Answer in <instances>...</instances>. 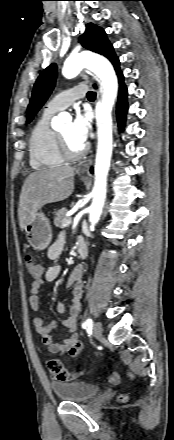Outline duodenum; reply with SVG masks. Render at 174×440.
Listing matches in <instances>:
<instances>
[{
	"mask_svg": "<svg viewBox=\"0 0 174 440\" xmlns=\"http://www.w3.org/2000/svg\"><path fill=\"white\" fill-rule=\"evenodd\" d=\"M76 250L81 259H85L88 255V247L83 238L76 239Z\"/></svg>",
	"mask_w": 174,
	"mask_h": 440,
	"instance_id": "obj_1",
	"label": "duodenum"
}]
</instances>
